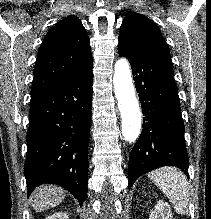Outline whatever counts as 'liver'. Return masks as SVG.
<instances>
[{
    "instance_id": "obj_1",
    "label": "liver",
    "mask_w": 211,
    "mask_h": 219,
    "mask_svg": "<svg viewBox=\"0 0 211 219\" xmlns=\"http://www.w3.org/2000/svg\"><path fill=\"white\" fill-rule=\"evenodd\" d=\"M65 197V190L54 185H42L32 195V207L41 212L57 206Z\"/></svg>"
}]
</instances>
